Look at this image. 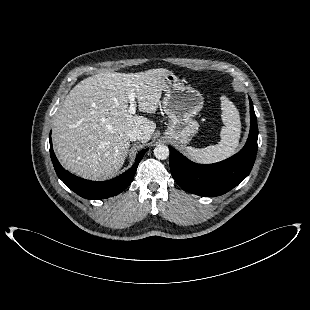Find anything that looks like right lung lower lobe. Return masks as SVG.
<instances>
[{"label": "right lung lower lobe", "mask_w": 310, "mask_h": 310, "mask_svg": "<svg viewBox=\"0 0 310 310\" xmlns=\"http://www.w3.org/2000/svg\"><path fill=\"white\" fill-rule=\"evenodd\" d=\"M50 140V156L58 177L75 193L85 199H104L121 193L131 183L139 162L148 149H144L136 156L134 165L122 175L102 182L89 181L66 171L58 162Z\"/></svg>", "instance_id": "obj_1"}]
</instances>
